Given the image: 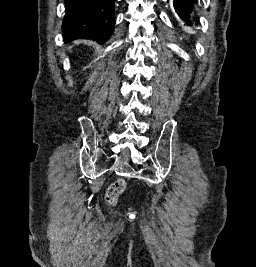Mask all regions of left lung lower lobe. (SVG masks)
<instances>
[{
    "label": "left lung lower lobe",
    "instance_id": "obj_1",
    "mask_svg": "<svg viewBox=\"0 0 256 267\" xmlns=\"http://www.w3.org/2000/svg\"><path fill=\"white\" fill-rule=\"evenodd\" d=\"M198 0H174V7L178 15L186 22V25L192 26L195 18L192 16L193 4Z\"/></svg>",
    "mask_w": 256,
    "mask_h": 267
}]
</instances>
